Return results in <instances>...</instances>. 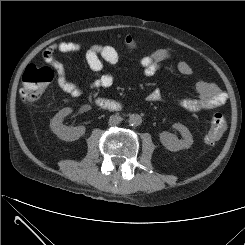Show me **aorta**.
I'll list each match as a JSON object with an SVG mask.
<instances>
[{"label":"aorta","mask_w":245,"mask_h":245,"mask_svg":"<svg viewBox=\"0 0 245 245\" xmlns=\"http://www.w3.org/2000/svg\"><path fill=\"white\" fill-rule=\"evenodd\" d=\"M128 122L131 126H139L142 123V117L138 114H131Z\"/></svg>","instance_id":"obj_1"}]
</instances>
